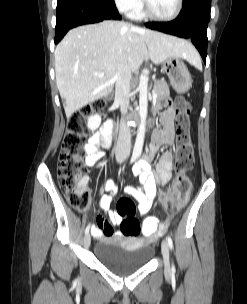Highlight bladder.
I'll return each mask as SVG.
<instances>
[{
	"mask_svg": "<svg viewBox=\"0 0 247 304\" xmlns=\"http://www.w3.org/2000/svg\"><path fill=\"white\" fill-rule=\"evenodd\" d=\"M97 261L116 274H127L144 268L153 258L155 249L131 238L104 239L94 251Z\"/></svg>",
	"mask_w": 247,
	"mask_h": 304,
	"instance_id": "31cf9c89",
	"label": "bladder"
}]
</instances>
